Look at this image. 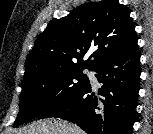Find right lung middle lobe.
I'll list each match as a JSON object with an SVG mask.
<instances>
[{"label": "right lung middle lobe", "mask_w": 153, "mask_h": 134, "mask_svg": "<svg viewBox=\"0 0 153 134\" xmlns=\"http://www.w3.org/2000/svg\"><path fill=\"white\" fill-rule=\"evenodd\" d=\"M84 69L60 67L24 79L14 127L43 115L84 88L89 83Z\"/></svg>", "instance_id": "dd1d6c3e"}]
</instances>
